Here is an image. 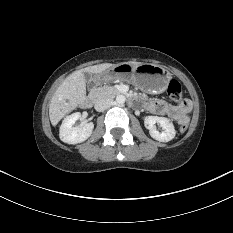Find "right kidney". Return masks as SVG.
<instances>
[{
	"label": "right kidney",
	"instance_id": "obj_1",
	"mask_svg": "<svg viewBox=\"0 0 233 233\" xmlns=\"http://www.w3.org/2000/svg\"><path fill=\"white\" fill-rule=\"evenodd\" d=\"M81 118V113H73L64 118L60 126V139L64 143L77 144L87 140L92 134L93 122H86L81 127H73L75 122Z\"/></svg>",
	"mask_w": 233,
	"mask_h": 233
}]
</instances>
